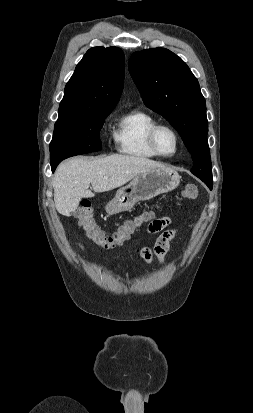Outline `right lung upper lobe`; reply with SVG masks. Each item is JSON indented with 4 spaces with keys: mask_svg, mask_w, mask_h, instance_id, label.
Here are the masks:
<instances>
[{
    "mask_svg": "<svg viewBox=\"0 0 253 413\" xmlns=\"http://www.w3.org/2000/svg\"><path fill=\"white\" fill-rule=\"evenodd\" d=\"M124 53L117 47L89 49L67 82L58 118L112 111L124 85Z\"/></svg>",
    "mask_w": 253,
    "mask_h": 413,
    "instance_id": "obj_1",
    "label": "right lung upper lobe"
}]
</instances>
